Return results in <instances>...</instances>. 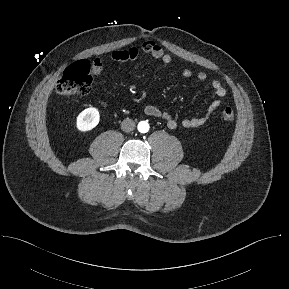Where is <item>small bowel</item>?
Returning a JSON list of instances; mask_svg holds the SVG:
<instances>
[{
	"label": "small bowel",
	"mask_w": 289,
	"mask_h": 289,
	"mask_svg": "<svg viewBox=\"0 0 289 289\" xmlns=\"http://www.w3.org/2000/svg\"><path fill=\"white\" fill-rule=\"evenodd\" d=\"M143 53L156 60H160L165 64H169L172 61L171 56L166 53L163 48L154 41H145L140 49L136 47H131L123 50H115L105 56V58H96L91 65L92 75L101 74L105 62H127L136 60L139 55ZM182 75L186 78L192 76V71L188 68L183 69ZM197 80L200 83H209L210 87L213 89L215 96L218 98L214 100L208 107L207 112L203 116H193L190 118H185L182 120L181 125L184 128H197L203 126L214 114V112L220 107L221 99L226 96L227 91L223 85L218 80H212L209 82L208 75L204 72H200L197 75ZM101 105L105 106L104 102H100ZM144 113L148 116L162 119L166 122L169 129H176L178 126L177 121L172 117V115L155 105H147L144 108Z\"/></svg>",
	"instance_id": "obj_1"
}]
</instances>
